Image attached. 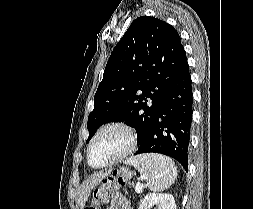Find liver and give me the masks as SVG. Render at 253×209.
I'll list each match as a JSON object with an SVG mask.
<instances>
[{
  "label": "liver",
  "instance_id": "obj_1",
  "mask_svg": "<svg viewBox=\"0 0 253 209\" xmlns=\"http://www.w3.org/2000/svg\"><path fill=\"white\" fill-rule=\"evenodd\" d=\"M110 170L106 172H98L94 175H92L89 179L85 180L79 191V197L77 200L78 205L81 209L84 208L86 201L88 200V197L91 193V190L99 184V182L106 176L110 174Z\"/></svg>",
  "mask_w": 253,
  "mask_h": 209
}]
</instances>
